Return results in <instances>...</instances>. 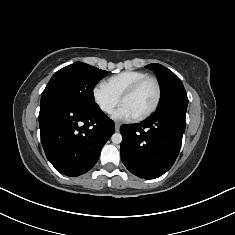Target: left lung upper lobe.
Wrapping results in <instances>:
<instances>
[{"label":"left lung upper lobe","instance_id":"1","mask_svg":"<svg viewBox=\"0 0 235 235\" xmlns=\"http://www.w3.org/2000/svg\"><path fill=\"white\" fill-rule=\"evenodd\" d=\"M146 68L157 75L162 91L160 104L154 114L174 109L186 111L188 98L181 80L161 64H149Z\"/></svg>","mask_w":235,"mask_h":235}]
</instances>
